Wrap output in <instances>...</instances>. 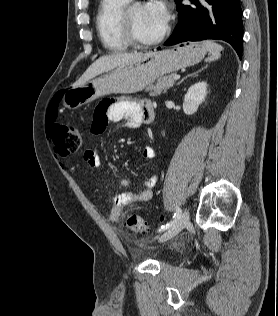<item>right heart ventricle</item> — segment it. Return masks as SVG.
<instances>
[{
	"label": "right heart ventricle",
	"mask_w": 278,
	"mask_h": 316,
	"mask_svg": "<svg viewBox=\"0 0 278 316\" xmlns=\"http://www.w3.org/2000/svg\"><path fill=\"white\" fill-rule=\"evenodd\" d=\"M129 1H100L96 15V28L102 45L109 51L121 52L130 46L122 26V15Z\"/></svg>",
	"instance_id": "e07e8e85"
}]
</instances>
